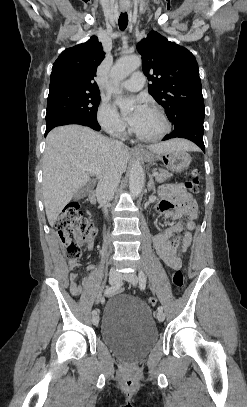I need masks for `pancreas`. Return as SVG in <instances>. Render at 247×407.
Wrapping results in <instances>:
<instances>
[{
	"label": "pancreas",
	"mask_w": 247,
	"mask_h": 407,
	"mask_svg": "<svg viewBox=\"0 0 247 407\" xmlns=\"http://www.w3.org/2000/svg\"><path fill=\"white\" fill-rule=\"evenodd\" d=\"M154 171L158 173L157 176L155 177L158 183H163L165 180L172 176L171 173L164 169H154Z\"/></svg>",
	"instance_id": "obj_1"
}]
</instances>
